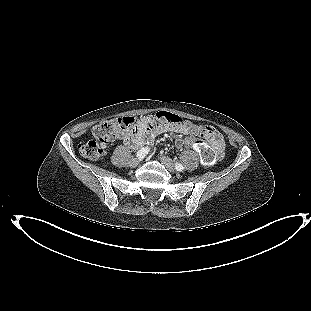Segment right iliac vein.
<instances>
[{"instance_id":"1","label":"right iliac vein","mask_w":311,"mask_h":311,"mask_svg":"<svg viewBox=\"0 0 311 311\" xmlns=\"http://www.w3.org/2000/svg\"><path fill=\"white\" fill-rule=\"evenodd\" d=\"M139 163H140V160H139L138 158H133V159L130 160L129 165H130L131 167H136V166L139 165Z\"/></svg>"}]
</instances>
